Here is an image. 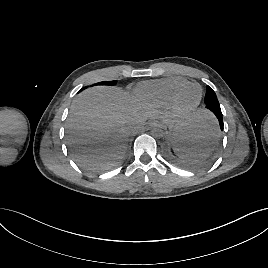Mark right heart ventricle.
<instances>
[{
    "mask_svg": "<svg viewBox=\"0 0 268 268\" xmlns=\"http://www.w3.org/2000/svg\"><path fill=\"white\" fill-rule=\"evenodd\" d=\"M187 84L190 82L182 77H169L141 83L136 92L147 103L165 105L171 101L178 89Z\"/></svg>",
    "mask_w": 268,
    "mask_h": 268,
    "instance_id": "e07e8e85",
    "label": "right heart ventricle"
}]
</instances>
